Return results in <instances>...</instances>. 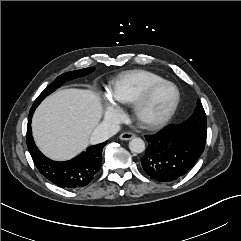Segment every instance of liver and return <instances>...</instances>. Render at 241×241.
<instances>
[{"label": "liver", "mask_w": 241, "mask_h": 241, "mask_svg": "<svg viewBox=\"0 0 241 241\" xmlns=\"http://www.w3.org/2000/svg\"><path fill=\"white\" fill-rule=\"evenodd\" d=\"M102 117L99 97L90 90L64 89L48 96L32 119L34 140L53 160H69L89 145Z\"/></svg>", "instance_id": "1"}]
</instances>
